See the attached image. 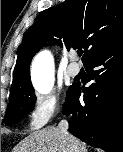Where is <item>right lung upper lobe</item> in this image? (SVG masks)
<instances>
[{
  "mask_svg": "<svg viewBox=\"0 0 123 152\" xmlns=\"http://www.w3.org/2000/svg\"><path fill=\"white\" fill-rule=\"evenodd\" d=\"M123 37L121 0H65L38 15L29 28L17 57L11 94L31 84L29 66L42 46L60 44L84 48L85 64L95 53Z\"/></svg>",
  "mask_w": 123,
  "mask_h": 152,
  "instance_id": "cb5924a9",
  "label": "right lung upper lobe"
}]
</instances>
